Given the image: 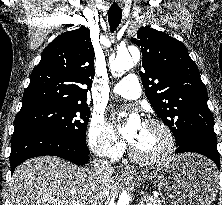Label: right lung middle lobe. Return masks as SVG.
Returning a JSON list of instances; mask_svg holds the SVG:
<instances>
[{"label":"right lung middle lobe","mask_w":222,"mask_h":205,"mask_svg":"<svg viewBox=\"0 0 222 205\" xmlns=\"http://www.w3.org/2000/svg\"><path fill=\"white\" fill-rule=\"evenodd\" d=\"M90 110L86 104H50L16 115L14 125H39L85 140Z\"/></svg>","instance_id":"right-lung-middle-lobe-1"}]
</instances>
